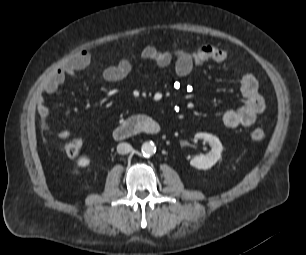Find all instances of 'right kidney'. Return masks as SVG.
Instances as JSON below:
<instances>
[{
    "label": "right kidney",
    "instance_id": "obj_1",
    "mask_svg": "<svg viewBox=\"0 0 306 255\" xmlns=\"http://www.w3.org/2000/svg\"><path fill=\"white\" fill-rule=\"evenodd\" d=\"M90 164V159L87 157H81L77 161V165L81 168L87 167Z\"/></svg>",
    "mask_w": 306,
    "mask_h": 255
}]
</instances>
